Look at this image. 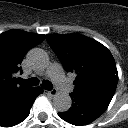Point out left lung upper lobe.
Returning <instances> with one entry per match:
<instances>
[{
	"instance_id": "obj_1",
	"label": "left lung upper lobe",
	"mask_w": 128,
	"mask_h": 128,
	"mask_svg": "<svg viewBox=\"0 0 128 128\" xmlns=\"http://www.w3.org/2000/svg\"><path fill=\"white\" fill-rule=\"evenodd\" d=\"M46 40L64 69L77 74L73 94L112 99L118 72L111 52L104 45L81 34H48Z\"/></svg>"
}]
</instances>
